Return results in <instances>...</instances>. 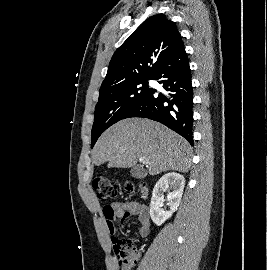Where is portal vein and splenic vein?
Wrapping results in <instances>:
<instances>
[{
    "instance_id": "portal-vein-and-splenic-vein-1",
    "label": "portal vein and splenic vein",
    "mask_w": 267,
    "mask_h": 270,
    "mask_svg": "<svg viewBox=\"0 0 267 270\" xmlns=\"http://www.w3.org/2000/svg\"><path fill=\"white\" fill-rule=\"evenodd\" d=\"M140 162H142L143 164H146V163H147V160L144 159V158H141V159H140Z\"/></svg>"
}]
</instances>
